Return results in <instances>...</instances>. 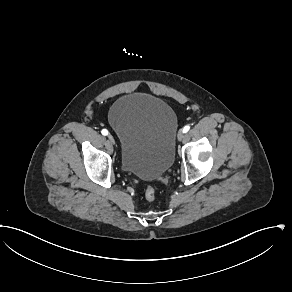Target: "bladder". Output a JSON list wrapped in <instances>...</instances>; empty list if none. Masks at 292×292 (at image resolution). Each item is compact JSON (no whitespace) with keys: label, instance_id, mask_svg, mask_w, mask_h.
Wrapping results in <instances>:
<instances>
[{"label":"bladder","instance_id":"obj_1","mask_svg":"<svg viewBox=\"0 0 292 292\" xmlns=\"http://www.w3.org/2000/svg\"><path fill=\"white\" fill-rule=\"evenodd\" d=\"M108 120L120 141L125 172L152 180L171 167L178 120L166 101L145 93L124 94L113 103Z\"/></svg>","mask_w":292,"mask_h":292}]
</instances>
